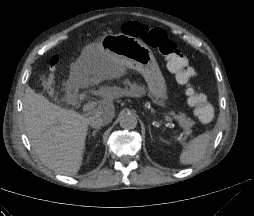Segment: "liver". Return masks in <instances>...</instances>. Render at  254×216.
Returning a JSON list of instances; mask_svg holds the SVG:
<instances>
[{
  "label": "liver",
  "mask_w": 254,
  "mask_h": 216,
  "mask_svg": "<svg viewBox=\"0 0 254 216\" xmlns=\"http://www.w3.org/2000/svg\"><path fill=\"white\" fill-rule=\"evenodd\" d=\"M125 73V66L119 58H109L92 73L78 70L75 63L72 64L70 79L88 87L103 80L118 79ZM115 94V88L104 90L97 109L79 114L55 105L27 88L23 99L24 125L30 144L42 163L60 174L75 175L82 165L88 119L98 113L111 121L115 114Z\"/></svg>",
  "instance_id": "obj_1"
}]
</instances>
